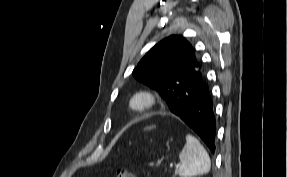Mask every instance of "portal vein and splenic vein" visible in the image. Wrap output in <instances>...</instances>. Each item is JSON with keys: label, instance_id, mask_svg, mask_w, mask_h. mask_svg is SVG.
<instances>
[{"label": "portal vein and splenic vein", "instance_id": "portal-vein-and-splenic-vein-1", "mask_svg": "<svg viewBox=\"0 0 287 177\" xmlns=\"http://www.w3.org/2000/svg\"><path fill=\"white\" fill-rule=\"evenodd\" d=\"M169 166L170 168H173L175 165L171 163ZM176 167H178V165H176Z\"/></svg>", "mask_w": 287, "mask_h": 177}]
</instances>
